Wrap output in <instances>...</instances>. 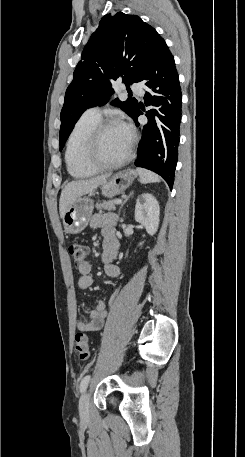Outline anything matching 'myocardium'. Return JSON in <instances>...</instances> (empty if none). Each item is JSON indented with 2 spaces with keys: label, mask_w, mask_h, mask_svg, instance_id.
I'll return each instance as SVG.
<instances>
[{
  "label": "myocardium",
  "mask_w": 245,
  "mask_h": 457,
  "mask_svg": "<svg viewBox=\"0 0 245 457\" xmlns=\"http://www.w3.org/2000/svg\"><path fill=\"white\" fill-rule=\"evenodd\" d=\"M113 127L120 126L116 121L102 120L91 128V130L88 132L86 136L84 147L79 154V162L83 167L89 169L92 172H97L116 168L131 159L135 145V138L133 135H130V144L128 146L127 151L119 158L102 163H93L90 161L88 157V151H90L93 145L99 144L101 137L106 130Z\"/></svg>",
  "instance_id": "myocardium-1"
}]
</instances>
